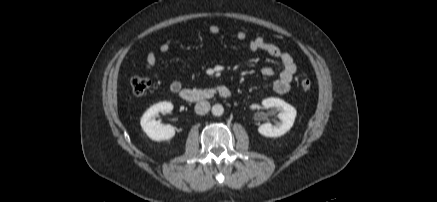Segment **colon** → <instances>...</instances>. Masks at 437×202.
I'll use <instances>...</instances> for the list:
<instances>
[{"instance_id":"5ec220e1","label":"colon","mask_w":437,"mask_h":202,"mask_svg":"<svg viewBox=\"0 0 437 202\" xmlns=\"http://www.w3.org/2000/svg\"><path fill=\"white\" fill-rule=\"evenodd\" d=\"M151 81L150 79L146 77H133L130 81L132 92L136 95H142L145 94L151 87ZM300 88L303 91H308L311 89L312 82L309 78H303L300 81Z\"/></svg>"}]
</instances>
